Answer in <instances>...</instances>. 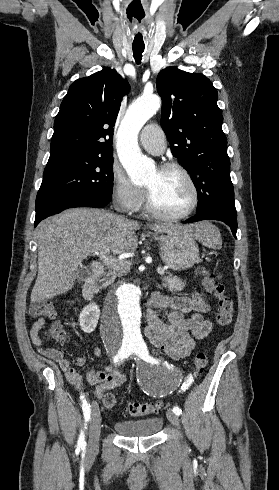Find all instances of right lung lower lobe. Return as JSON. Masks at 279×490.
Returning a JSON list of instances; mask_svg holds the SVG:
<instances>
[{"label": "right lung lower lobe", "mask_w": 279, "mask_h": 490, "mask_svg": "<svg viewBox=\"0 0 279 490\" xmlns=\"http://www.w3.org/2000/svg\"><path fill=\"white\" fill-rule=\"evenodd\" d=\"M106 205H108L107 202L86 195L53 197L44 201L41 204L40 209L36 211L34 226L36 227L41 220L47 218L48 216L57 214L64 209L74 207L102 208Z\"/></svg>", "instance_id": "1"}]
</instances>
